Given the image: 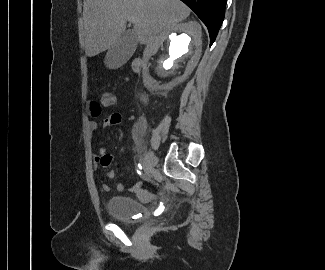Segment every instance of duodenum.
Listing matches in <instances>:
<instances>
[{
	"label": "duodenum",
	"instance_id": "1",
	"mask_svg": "<svg viewBox=\"0 0 325 270\" xmlns=\"http://www.w3.org/2000/svg\"><path fill=\"white\" fill-rule=\"evenodd\" d=\"M133 70L138 73L141 71V68L143 67V61L139 58L135 59L134 62H133Z\"/></svg>",
	"mask_w": 325,
	"mask_h": 270
}]
</instances>
